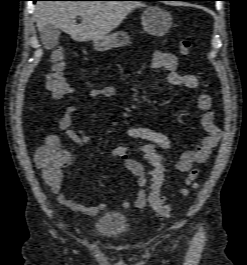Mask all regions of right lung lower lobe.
<instances>
[{
  "label": "right lung lower lobe",
  "instance_id": "obj_1",
  "mask_svg": "<svg viewBox=\"0 0 247 265\" xmlns=\"http://www.w3.org/2000/svg\"><path fill=\"white\" fill-rule=\"evenodd\" d=\"M32 1H34V2H35V1H39V0H32ZM138 1H143V0H138Z\"/></svg>",
  "mask_w": 247,
  "mask_h": 265
}]
</instances>
